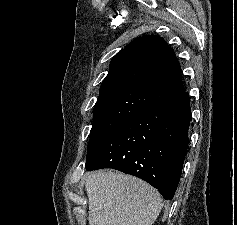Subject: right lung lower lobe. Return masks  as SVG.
Listing matches in <instances>:
<instances>
[{"instance_id":"obj_1","label":"right lung lower lobe","mask_w":237,"mask_h":225,"mask_svg":"<svg viewBox=\"0 0 237 225\" xmlns=\"http://www.w3.org/2000/svg\"><path fill=\"white\" fill-rule=\"evenodd\" d=\"M189 94L149 107L121 125L86 158V170L112 168L137 176L172 199L189 144Z\"/></svg>"}]
</instances>
